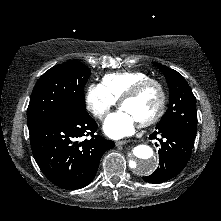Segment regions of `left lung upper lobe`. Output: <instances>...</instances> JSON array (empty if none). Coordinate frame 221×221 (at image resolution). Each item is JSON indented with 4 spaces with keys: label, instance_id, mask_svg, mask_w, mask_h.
Instances as JSON below:
<instances>
[{
    "label": "left lung upper lobe",
    "instance_id": "1",
    "mask_svg": "<svg viewBox=\"0 0 221 221\" xmlns=\"http://www.w3.org/2000/svg\"><path fill=\"white\" fill-rule=\"evenodd\" d=\"M154 64L164 72L170 88L169 106L157 126L173 125L196 136V98L188 83L177 71L160 63Z\"/></svg>",
    "mask_w": 221,
    "mask_h": 221
}]
</instances>
